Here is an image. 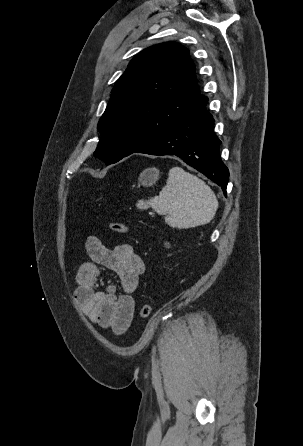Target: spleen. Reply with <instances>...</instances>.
<instances>
[{
	"instance_id": "obj_1",
	"label": "spleen",
	"mask_w": 303,
	"mask_h": 446,
	"mask_svg": "<svg viewBox=\"0 0 303 446\" xmlns=\"http://www.w3.org/2000/svg\"><path fill=\"white\" fill-rule=\"evenodd\" d=\"M139 209L151 207L172 228L188 229L209 223L215 216L218 200L201 179L181 167L169 170L166 185L159 196L139 200Z\"/></svg>"
}]
</instances>
